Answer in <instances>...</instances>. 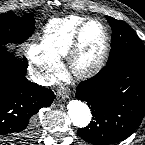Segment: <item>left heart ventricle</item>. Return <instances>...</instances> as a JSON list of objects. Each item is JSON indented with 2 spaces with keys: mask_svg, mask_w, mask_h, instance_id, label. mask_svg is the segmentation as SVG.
Returning <instances> with one entry per match:
<instances>
[{
  "mask_svg": "<svg viewBox=\"0 0 145 145\" xmlns=\"http://www.w3.org/2000/svg\"><path fill=\"white\" fill-rule=\"evenodd\" d=\"M104 44V36L100 26L96 23L89 24L82 36V54L80 65L93 63L100 55Z\"/></svg>",
  "mask_w": 145,
  "mask_h": 145,
  "instance_id": "b2bd125f",
  "label": "left heart ventricle"
}]
</instances>
